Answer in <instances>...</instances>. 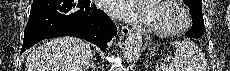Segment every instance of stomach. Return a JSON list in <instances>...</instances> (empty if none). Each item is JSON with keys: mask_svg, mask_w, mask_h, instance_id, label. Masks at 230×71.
Here are the masks:
<instances>
[{"mask_svg": "<svg viewBox=\"0 0 230 71\" xmlns=\"http://www.w3.org/2000/svg\"><path fill=\"white\" fill-rule=\"evenodd\" d=\"M151 51H152V53H154L156 50H155V49H152Z\"/></svg>", "mask_w": 230, "mask_h": 71, "instance_id": "1", "label": "stomach"}]
</instances>
